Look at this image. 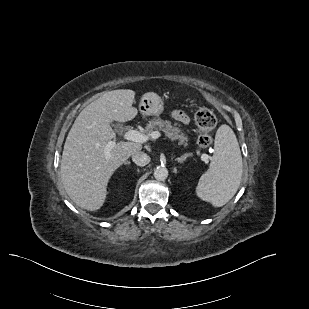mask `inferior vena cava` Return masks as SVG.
Instances as JSON below:
<instances>
[{
	"mask_svg": "<svg viewBox=\"0 0 309 309\" xmlns=\"http://www.w3.org/2000/svg\"><path fill=\"white\" fill-rule=\"evenodd\" d=\"M132 160L138 166H145L149 163L150 157L144 152L137 151L132 154Z\"/></svg>",
	"mask_w": 309,
	"mask_h": 309,
	"instance_id": "1",
	"label": "inferior vena cava"
}]
</instances>
